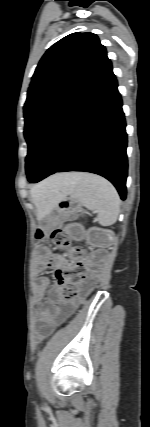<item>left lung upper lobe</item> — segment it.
Instances as JSON below:
<instances>
[{"instance_id":"5c2ea615","label":"left lung upper lobe","mask_w":150,"mask_h":427,"mask_svg":"<svg viewBox=\"0 0 150 427\" xmlns=\"http://www.w3.org/2000/svg\"><path fill=\"white\" fill-rule=\"evenodd\" d=\"M110 64L93 33H73L51 46L35 70L24 105L28 146L49 119Z\"/></svg>"}]
</instances>
